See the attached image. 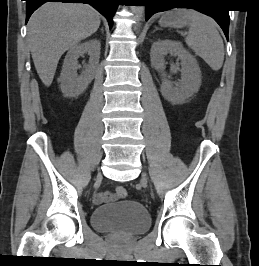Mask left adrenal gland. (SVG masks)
Returning a JSON list of instances; mask_svg holds the SVG:
<instances>
[{
  "label": "left adrenal gland",
  "mask_w": 259,
  "mask_h": 266,
  "mask_svg": "<svg viewBox=\"0 0 259 266\" xmlns=\"http://www.w3.org/2000/svg\"><path fill=\"white\" fill-rule=\"evenodd\" d=\"M155 29H156V30H159V28H157V27H156Z\"/></svg>",
  "instance_id": "a2214340"
}]
</instances>
